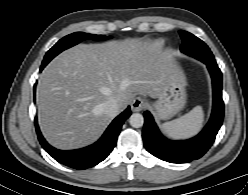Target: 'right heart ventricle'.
Masks as SVG:
<instances>
[{"label":"right heart ventricle","instance_id":"obj_1","mask_svg":"<svg viewBox=\"0 0 248 195\" xmlns=\"http://www.w3.org/2000/svg\"><path fill=\"white\" fill-rule=\"evenodd\" d=\"M159 43H160V45H163L164 44V41H160Z\"/></svg>","mask_w":248,"mask_h":195}]
</instances>
